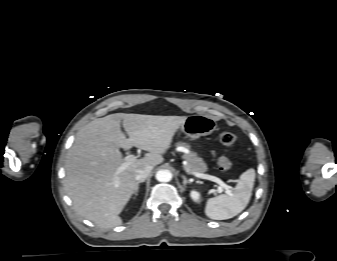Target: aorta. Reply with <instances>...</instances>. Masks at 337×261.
<instances>
[{
  "instance_id": "1",
  "label": "aorta",
  "mask_w": 337,
  "mask_h": 261,
  "mask_svg": "<svg viewBox=\"0 0 337 261\" xmlns=\"http://www.w3.org/2000/svg\"><path fill=\"white\" fill-rule=\"evenodd\" d=\"M156 179L159 182H169L172 179V173L169 170H159L156 173Z\"/></svg>"
}]
</instances>
